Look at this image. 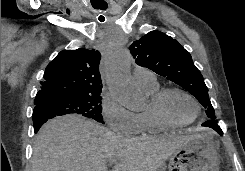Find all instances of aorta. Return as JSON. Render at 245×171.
<instances>
[{
    "label": "aorta",
    "mask_w": 245,
    "mask_h": 171,
    "mask_svg": "<svg viewBox=\"0 0 245 171\" xmlns=\"http://www.w3.org/2000/svg\"><path fill=\"white\" fill-rule=\"evenodd\" d=\"M131 57L123 49L117 51L104 67L103 73L110 92L129 110L138 111L144 106L141 91L130 75Z\"/></svg>",
    "instance_id": "aorta-1"
}]
</instances>
